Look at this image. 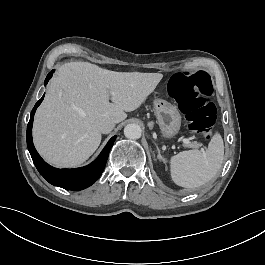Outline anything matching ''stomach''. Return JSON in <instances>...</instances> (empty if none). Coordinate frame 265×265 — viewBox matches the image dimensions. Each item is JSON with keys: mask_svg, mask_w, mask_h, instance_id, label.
I'll list each match as a JSON object with an SVG mask.
<instances>
[{"mask_svg": "<svg viewBox=\"0 0 265 265\" xmlns=\"http://www.w3.org/2000/svg\"><path fill=\"white\" fill-rule=\"evenodd\" d=\"M156 116L163 139L175 137L181 128V115L178 109L164 100L155 101Z\"/></svg>", "mask_w": 265, "mask_h": 265, "instance_id": "stomach-1", "label": "stomach"}]
</instances>
